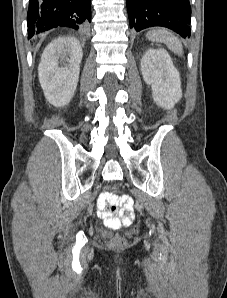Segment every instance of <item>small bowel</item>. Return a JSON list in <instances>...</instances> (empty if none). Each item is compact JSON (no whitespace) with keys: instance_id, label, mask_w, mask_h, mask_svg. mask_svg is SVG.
Here are the masks:
<instances>
[{"instance_id":"obj_1","label":"small bowel","mask_w":227,"mask_h":298,"mask_svg":"<svg viewBox=\"0 0 227 298\" xmlns=\"http://www.w3.org/2000/svg\"><path fill=\"white\" fill-rule=\"evenodd\" d=\"M98 215L102 216L105 218V213L103 211H101L99 208H98ZM121 223H123L124 225H127L130 223V218L129 217H123L121 219ZM121 225V224H120ZM119 225V226H120Z\"/></svg>"}]
</instances>
